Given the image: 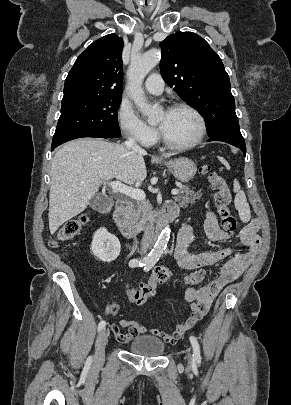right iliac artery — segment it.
<instances>
[{
    "mask_svg": "<svg viewBox=\"0 0 291 405\" xmlns=\"http://www.w3.org/2000/svg\"><path fill=\"white\" fill-rule=\"evenodd\" d=\"M150 261L148 259H132L129 262V266L130 267H143L145 265H147ZM106 325V322L104 320H102L99 324H98V331H101L102 329H104ZM89 361H91V357L88 359Z\"/></svg>",
    "mask_w": 291,
    "mask_h": 405,
    "instance_id": "82829eb1",
    "label": "right iliac artery"
}]
</instances>
